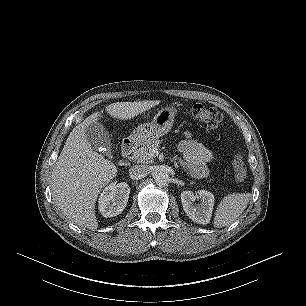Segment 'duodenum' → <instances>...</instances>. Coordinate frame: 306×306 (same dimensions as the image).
Instances as JSON below:
<instances>
[{
    "label": "duodenum",
    "mask_w": 306,
    "mask_h": 306,
    "mask_svg": "<svg viewBox=\"0 0 306 306\" xmlns=\"http://www.w3.org/2000/svg\"><path fill=\"white\" fill-rule=\"evenodd\" d=\"M135 148V141L131 139H127L123 142L121 146V155L123 158H127L131 155Z\"/></svg>",
    "instance_id": "obj_1"
}]
</instances>
